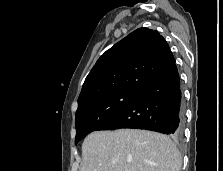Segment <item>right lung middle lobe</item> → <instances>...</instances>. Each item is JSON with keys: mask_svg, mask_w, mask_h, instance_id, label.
<instances>
[{"mask_svg": "<svg viewBox=\"0 0 223 171\" xmlns=\"http://www.w3.org/2000/svg\"><path fill=\"white\" fill-rule=\"evenodd\" d=\"M138 92L120 91L96 98L78 108L75 117V144L123 110Z\"/></svg>", "mask_w": 223, "mask_h": 171, "instance_id": "obj_1", "label": "right lung middle lobe"}]
</instances>
